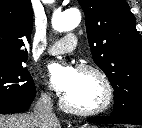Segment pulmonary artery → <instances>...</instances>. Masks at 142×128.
<instances>
[{"instance_id": "e3ab8cb5", "label": "pulmonary artery", "mask_w": 142, "mask_h": 128, "mask_svg": "<svg viewBox=\"0 0 142 128\" xmlns=\"http://www.w3.org/2000/svg\"><path fill=\"white\" fill-rule=\"evenodd\" d=\"M77 47V37L73 33L65 35L61 40L54 43L48 48V53L51 55L64 54L72 52Z\"/></svg>"}]
</instances>
